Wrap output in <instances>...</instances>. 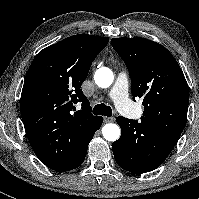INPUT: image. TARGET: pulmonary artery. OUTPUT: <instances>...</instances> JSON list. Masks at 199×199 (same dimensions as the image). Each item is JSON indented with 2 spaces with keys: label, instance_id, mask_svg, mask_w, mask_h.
Listing matches in <instances>:
<instances>
[{
  "label": "pulmonary artery",
  "instance_id": "1",
  "mask_svg": "<svg viewBox=\"0 0 199 199\" xmlns=\"http://www.w3.org/2000/svg\"><path fill=\"white\" fill-rule=\"evenodd\" d=\"M109 96L115 103L118 110L126 112V108L130 105V97L129 81L125 72L119 73Z\"/></svg>",
  "mask_w": 199,
  "mask_h": 199
}]
</instances>
